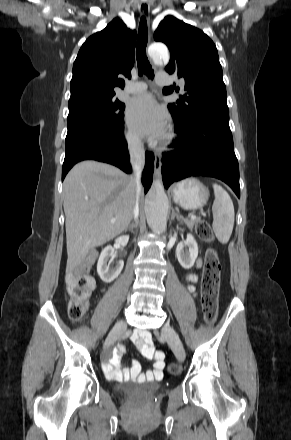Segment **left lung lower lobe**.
<instances>
[{
  "mask_svg": "<svg viewBox=\"0 0 291 440\" xmlns=\"http://www.w3.org/2000/svg\"><path fill=\"white\" fill-rule=\"evenodd\" d=\"M173 151L162 155L164 186L189 176H210L227 183L240 197L239 166L229 127V114H206L183 126Z\"/></svg>",
  "mask_w": 291,
  "mask_h": 440,
  "instance_id": "left-lung-lower-lobe-1",
  "label": "left lung lower lobe"
}]
</instances>
